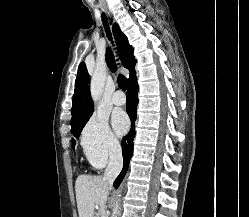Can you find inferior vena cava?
I'll use <instances>...</instances> for the list:
<instances>
[{
    "mask_svg": "<svg viewBox=\"0 0 249 217\" xmlns=\"http://www.w3.org/2000/svg\"><path fill=\"white\" fill-rule=\"evenodd\" d=\"M123 166L122 150L117 141H113L109 148V162L105 169L103 179L107 181L109 188L112 187L114 180L119 175Z\"/></svg>",
    "mask_w": 249,
    "mask_h": 217,
    "instance_id": "obj_1",
    "label": "inferior vena cava"
}]
</instances>
